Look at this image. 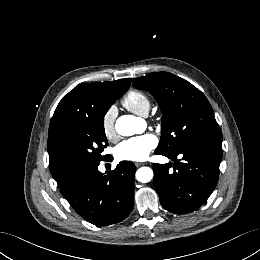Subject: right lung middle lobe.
I'll list each match as a JSON object with an SVG mask.
<instances>
[{"label": "right lung middle lobe", "mask_w": 260, "mask_h": 260, "mask_svg": "<svg viewBox=\"0 0 260 260\" xmlns=\"http://www.w3.org/2000/svg\"><path fill=\"white\" fill-rule=\"evenodd\" d=\"M120 95L100 97L91 113L80 119L65 142L64 154L71 172L91 167L104 160L101 155L108 145L104 131V116Z\"/></svg>", "instance_id": "1"}]
</instances>
